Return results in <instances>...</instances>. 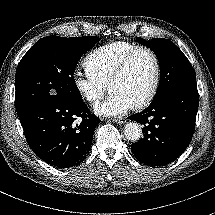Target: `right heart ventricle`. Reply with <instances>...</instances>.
Wrapping results in <instances>:
<instances>
[{"mask_svg": "<svg viewBox=\"0 0 215 215\" xmlns=\"http://www.w3.org/2000/svg\"><path fill=\"white\" fill-rule=\"evenodd\" d=\"M134 47L129 41H113L95 48L84 58L86 73L107 83L118 61Z\"/></svg>", "mask_w": 215, "mask_h": 215, "instance_id": "right-heart-ventricle-1", "label": "right heart ventricle"}]
</instances>
